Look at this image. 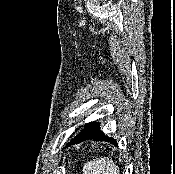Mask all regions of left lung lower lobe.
<instances>
[{
	"mask_svg": "<svg viewBox=\"0 0 175 174\" xmlns=\"http://www.w3.org/2000/svg\"><path fill=\"white\" fill-rule=\"evenodd\" d=\"M87 139H92L94 141H107L117 146L115 139L105 136L100 131V124L98 122H91L86 124L84 129L74 139L71 140L69 145L77 144Z\"/></svg>",
	"mask_w": 175,
	"mask_h": 174,
	"instance_id": "left-lung-lower-lobe-1",
	"label": "left lung lower lobe"
}]
</instances>
